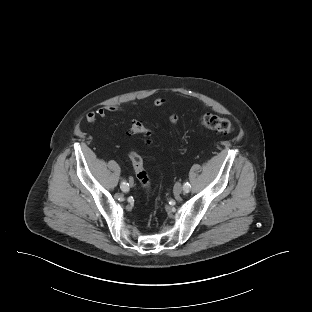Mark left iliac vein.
Masks as SVG:
<instances>
[{
	"label": "left iliac vein",
	"mask_w": 312,
	"mask_h": 312,
	"mask_svg": "<svg viewBox=\"0 0 312 312\" xmlns=\"http://www.w3.org/2000/svg\"><path fill=\"white\" fill-rule=\"evenodd\" d=\"M173 191L175 195L181 194V192L183 191L182 185L180 183H176Z\"/></svg>",
	"instance_id": "left-iliac-vein-1"
}]
</instances>
